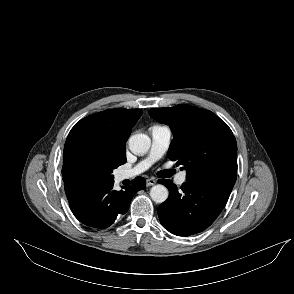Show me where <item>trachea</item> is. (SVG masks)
Here are the masks:
<instances>
[{
	"instance_id": "obj_1",
	"label": "trachea",
	"mask_w": 294,
	"mask_h": 294,
	"mask_svg": "<svg viewBox=\"0 0 294 294\" xmlns=\"http://www.w3.org/2000/svg\"><path fill=\"white\" fill-rule=\"evenodd\" d=\"M173 173H174V171L173 170H168V171H166L165 173H164V177H170V176H172L173 175Z\"/></svg>"
}]
</instances>
